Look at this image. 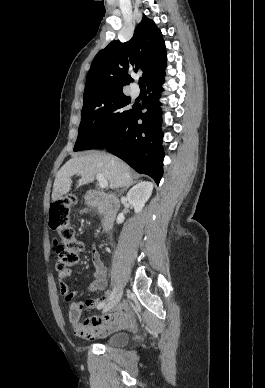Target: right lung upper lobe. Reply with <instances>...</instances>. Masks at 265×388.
I'll return each instance as SVG.
<instances>
[{
    "label": "right lung upper lobe",
    "mask_w": 265,
    "mask_h": 388,
    "mask_svg": "<svg viewBox=\"0 0 265 388\" xmlns=\"http://www.w3.org/2000/svg\"><path fill=\"white\" fill-rule=\"evenodd\" d=\"M167 64L165 43L153 20L143 15L132 39L112 41L94 58L86 79L83 98L104 91L122 90L132 79L129 72L143 71L146 82L162 76Z\"/></svg>",
    "instance_id": "right-lung-upper-lobe-1"
}]
</instances>
